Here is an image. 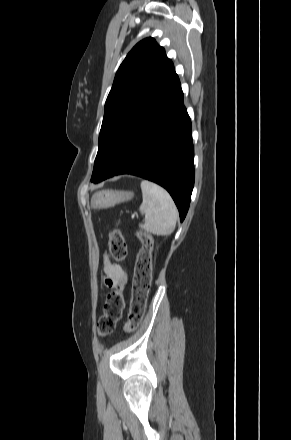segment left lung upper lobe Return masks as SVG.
Wrapping results in <instances>:
<instances>
[{
    "label": "left lung upper lobe",
    "mask_w": 291,
    "mask_h": 440,
    "mask_svg": "<svg viewBox=\"0 0 291 440\" xmlns=\"http://www.w3.org/2000/svg\"><path fill=\"white\" fill-rule=\"evenodd\" d=\"M172 61L153 38L136 44L120 65L105 103L92 177L123 134L175 75Z\"/></svg>",
    "instance_id": "5c2ea615"
}]
</instances>
